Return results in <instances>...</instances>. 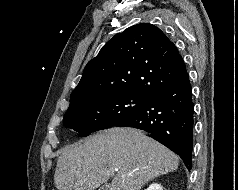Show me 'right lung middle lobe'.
<instances>
[{"label": "right lung middle lobe", "mask_w": 238, "mask_h": 190, "mask_svg": "<svg viewBox=\"0 0 238 190\" xmlns=\"http://www.w3.org/2000/svg\"><path fill=\"white\" fill-rule=\"evenodd\" d=\"M149 101V97L131 93L92 96L69 107L63 124L87 136L114 126L143 109Z\"/></svg>", "instance_id": "1"}]
</instances>
